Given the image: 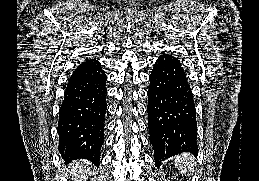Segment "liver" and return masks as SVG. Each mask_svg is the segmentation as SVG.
<instances>
[{"label":"liver","mask_w":259,"mask_h":181,"mask_svg":"<svg viewBox=\"0 0 259 181\" xmlns=\"http://www.w3.org/2000/svg\"><path fill=\"white\" fill-rule=\"evenodd\" d=\"M90 162H77L75 166L71 167L70 175L73 177V181H86L87 176L90 174L89 168Z\"/></svg>","instance_id":"obj_1"}]
</instances>
